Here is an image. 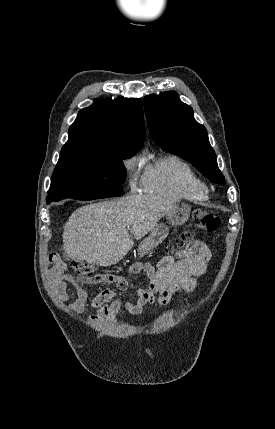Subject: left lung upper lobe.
<instances>
[{
  "instance_id": "1",
  "label": "left lung upper lobe",
  "mask_w": 275,
  "mask_h": 429,
  "mask_svg": "<svg viewBox=\"0 0 275 429\" xmlns=\"http://www.w3.org/2000/svg\"><path fill=\"white\" fill-rule=\"evenodd\" d=\"M145 114L154 142L163 150L190 161L205 177L225 184L206 128L193 116V109L168 91L144 98Z\"/></svg>"
}]
</instances>
